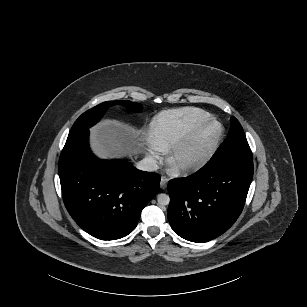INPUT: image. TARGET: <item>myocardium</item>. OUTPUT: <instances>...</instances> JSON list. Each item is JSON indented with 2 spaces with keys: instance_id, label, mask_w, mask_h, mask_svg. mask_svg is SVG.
I'll return each mask as SVG.
<instances>
[{
  "instance_id": "myocardium-1",
  "label": "myocardium",
  "mask_w": 307,
  "mask_h": 307,
  "mask_svg": "<svg viewBox=\"0 0 307 307\" xmlns=\"http://www.w3.org/2000/svg\"><path fill=\"white\" fill-rule=\"evenodd\" d=\"M216 124L221 125V133L206 147V149L198 158L192 161H185V156L196 146H198L202 138L207 134L211 127ZM224 136L225 125L221 121L212 120L208 122L206 125L198 129L187 140L172 149L168 156V166L170 172L174 175L182 176L200 170L214 157Z\"/></svg>"
}]
</instances>
